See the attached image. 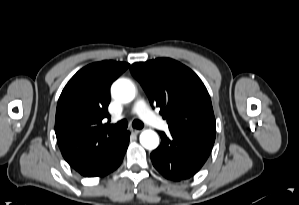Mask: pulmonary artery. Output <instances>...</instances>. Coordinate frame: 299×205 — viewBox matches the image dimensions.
<instances>
[{"mask_svg": "<svg viewBox=\"0 0 299 205\" xmlns=\"http://www.w3.org/2000/svg\"><path fill=\"white\" fill-rule=\"evenodd\" d=\"M133 113L137 114L145 123L161 130H167L168 124L156 116L147 106L144 100H138L133 106Z\"/></svg>", "mask_w": 299, "mask_h": 205, "instance_id": "obj_1", "label": "pulmonary artery"}]
</instances>
